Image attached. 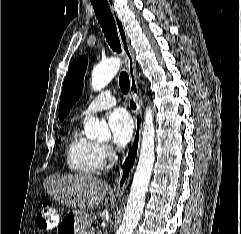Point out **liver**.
I'll return each mask as SVG.
<instances>
[{"label": "liver", "mask_w": 241, "mask_h": 234, "mask_svg": "<svg viewBox=\"0 0 241 234\" xmlns=\"http://www.w3.org/2000/svg\"><path fill=\"white\" fill-rule=\"evenodd\" d=\"M44 189L68 207L93 209L104 199L109 185L88 174H54L45 179Z\"/></svg>", "instance_id": "6515ba94"}]
</instances>
